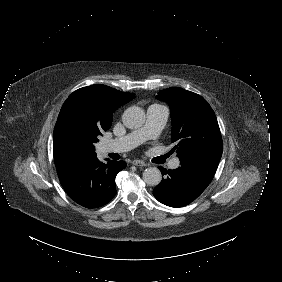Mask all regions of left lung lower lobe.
Segmentation results:
<instances>
[{
  "instance_id": "obj_1",
  "label": "left lung lower lobe",
  "mask_w": 282,
  "mask_h": 282,
  "mask_svg": "<svg viewBox=\"0 0 282 282\" xmlns=\"http://www.w3.org/2000/svg\"><path fill=\"white\" fill-rule=\"evenodd\" d=\"M220 157L201 154L180 160L181 166L174 170L158 167L162 175L161 183L153 190V195L161 203L171 207H183L194 201L212 181Z\"/></svg>"
}]
</instances>
